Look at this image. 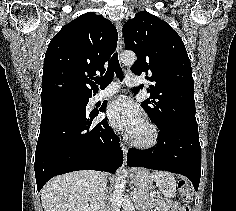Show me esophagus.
<instances>
[{
  "label": "esophagus",
  "mask_w": 236,
  "mask_h": 211,
  "mask_svg": "<svg viewBox=\"0 0 236 211\" xmlns=\"http://www.w3.org/2000/svg\"><path fill=\"white\" fill-rule=\"evenodd\" d=\"M115 26H116V29H117V32H118L117 52L120 53L122 51V44H123V42H122V25H121V22L116 21ZM120 146H121V149H122V152H123L124 160H126V158H127V147L124 144V142H122V141L120 142Z\"/></svg>",
  "instance_id": "1"
}]
</instances>
